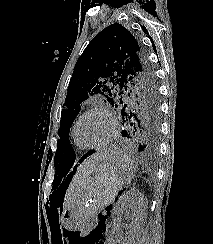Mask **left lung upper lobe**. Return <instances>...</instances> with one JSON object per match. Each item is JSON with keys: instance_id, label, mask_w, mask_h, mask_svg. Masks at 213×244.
Here are the masks:
<instances>
[{"instance_id": "left-lung-upper-lobe-1", "label": "left lung upper lobe", "mask_w": 213, "mask_h": 244, "mask_svg": "<svg viewBox=\"0 0 213 244\" xmlns=\"http://www.w3.org/2000/svg\"><path fill=\"white\" fill-rule=\"evenodd\" d=\"M95 95L104 96L123 117L141 125H159V95L153 70L133 34L119 23L98 33L76 62L58 130L60 139L54 157L57 174L68 171L75 161L69 130L81 110L80 104Z\"/></svg>"}]
</instances>
